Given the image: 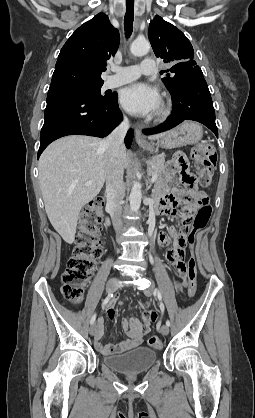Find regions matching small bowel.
<instances>
[{"mask_svg": "<svg viewBox=\"0 0 255 418\" xmlns=\"http://www.w3.org/2000/svg\"><path fill=\"white\" fill-rule=\"evenodd\" d=\"M172 163L166 171L162 183L157 191L161 201L158 211L170 218L187 219L191 212L190 200L198 193L195 177L189 172L188 163H191V154L186 153L185 147H176L172 156ZM192 234L190 228H170L168 232H161L158 237L159 244L165 248V255L169 261L170 271L175 273L176 280H187L188 265L185 261L187 235ZM176 289L181 287L179 282L174 284ZM108 317H116L115 301L106 305ZM145 325L139 319L130 318L123 322L128 339L116 344L106 345L102 342L104 333V319L99 318L94 334L95 346L104 355L123 353L141 345L144 335L150 331V323L155 321L157 314L152 310L144 311Z\"/></svg>", "mask_w": 255, "mask_h": 418, "instance_id": "small-bowel-1", "label": "small bowel"}]
</instances>
